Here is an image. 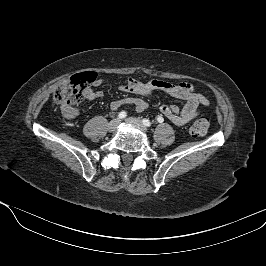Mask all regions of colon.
Returning a JSON list of instances; mask_svg holds the SVG:
<instances>
[{
  "label": "colon",
  "instance_id": "colon-1",
  "mask_svg": "<svg viewBox=\"0 0 266 266\" xmlns=\"http://www.w3.org/2000/svg\"><path fill=\"white\" fill-rule=\"evenodd\" d=\"M95 80L96 74L93 72L74 75L55 91L54 100L62 109L70 110L83 100L87 87ZM208 128V120L200 117L190 127V134L194 138H199L207 133Z\"/></svg>",
  "mask_w": 266,
  "mask_h": 266
}]
</instances>
